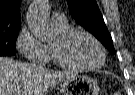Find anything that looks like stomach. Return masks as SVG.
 Segmentation results:
<instances>
[{"label": "stomach", "mask_w": 135, "mask_h": 95, "mask_svg": "<svg viewBox=\"0 0 135 95\" xmlns=\"http://www.w3.org/2000/svg\"><path fill=\"white\" fill-rule=\"evenodd\" d=\"M99 85L93 78L76 74L61 84L62 95H99Z\"/></svg>", "instance_id": "0dacf381"}]
</instances>
